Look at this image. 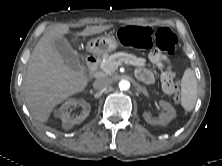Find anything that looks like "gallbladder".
Masks as SVG:
<instances>
[{
	"label": "gallbladder",
	"mask_w": 222,
	"mask_h": 166,
	"mask_svg": "<svg viewBox=\"0 0 222 166\" xmlns=\"http://www.w3.org/2000/svg\"><path fill=\"white\" fill-rule=\"evenodd\" d=\"M54 47L62 57L63 61L72 69H81V64L77 52L71 47L65 37H59L54 40Z\"/></svg>",
	"instance_id": "gallbladder-1"
}]
</instances>
